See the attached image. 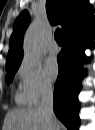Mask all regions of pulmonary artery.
I'll return each mask as SVG.
<instances>
[{
    "instance_id": "pulmonary-artery-1",
    "label": "pulmonary artery",
    "mask_w": 95,
    "mask_h": 130,
    "mask_svg": "<svg viewBox=\"0 0 95 130\" xmlns=\"http://www.w3.org/2000/svg\"><path fill=\"white\" fill-rule=\"evenodd\" d=\"M47 50L50 53H58L59 52V46L55 41H51L47 44Z\"/></svg>"
}]
</instances>
